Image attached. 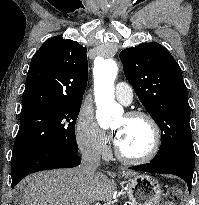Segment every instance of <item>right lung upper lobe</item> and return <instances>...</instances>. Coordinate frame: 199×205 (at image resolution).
<instances>
[{
    "label": "right lung upper lobe",
    "mask_w": 199,
    "mask_h": 205,
    "mask_svg": "<svg viewBox=\"0 0 199 205\" xmlns=\"http://www.w3.org/2000/svg\"><path fill=\"white\" fill-rule=\"evenodd\" d=\"M87 48L58 35L34 54L22 95V111L53 104H81L87 86Z\"/></svg>",
    "instance_id": "cb5924a9"
}]
</instances>
